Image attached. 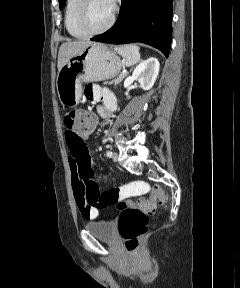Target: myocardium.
<instances>
[{"mask_svg":"<svg viewBox=\"0 0 240 288\" xmlns=\"http://www.w3.org/2000/svg\"><path fill=\"white\" fill-rule=\"evenodd\" d=\"M89 2L90 0H81L76 17L78 27L87 35H96L107 31L115 21V14H116L115 6L112 7L110 18L104 26L98 29H91L87 23V9Z\"/></svg>","mask_w":240,"mask_h":288,"instance_id":"myocardium-1","label":"myocardium"}]
</instances>
